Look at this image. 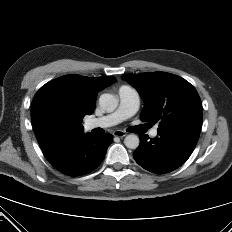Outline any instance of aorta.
<instances>
[{
	"label": "aorta",
	"mask_w": 232,
	"mask_h": 232,
	"mask_svg": "<svg viewBox=\"0 0 232 232\" xmlns=\"http://www.w3.org/2000/svg\"><path fill=\"white\" fill-rule=\"evenodd\" d=\"M99 105L104 111L110 113L117 108L118 99L112 94L104 93L99 98ZM139 143V137L135 134L127 135L124 139V144L129 149H136Z\"/></svg>",
	"instance_id": "obj_1"
}]
</instances>
